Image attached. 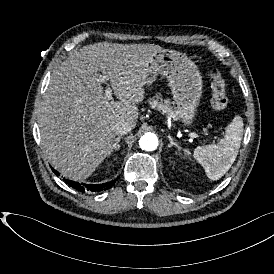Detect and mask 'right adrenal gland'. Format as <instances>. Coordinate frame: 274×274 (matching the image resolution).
<instances>
[{
	"mask_svg": "<svg viewBox=\"0 0 274 274\" xmlns=\"http://www.w3.org/2000/svg\"><path fill=\"white\" fill-rule=\"evenodd\" d=\"M120 139H121L120 137L115 138V144H114V147H113L112 151L110 152L109 156H111L112 153H116L120 150V148L118 146Z\"/></svg>",
	"mask_w": 274,
	"mask_h": 274,
	"instance_id": "obj_1",
	"label": "right adrenal gland"
}]
</instances>
